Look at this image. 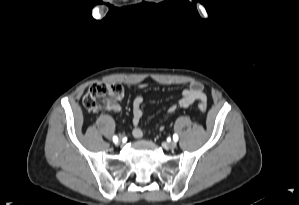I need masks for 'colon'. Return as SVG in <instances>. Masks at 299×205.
<instances>
[{
  "label": "colon",
  "instance_id": "5ec220e1",
  "mask_svg": "<svg viewBox=\"0 0 299 205\" xmlns=\"http://www.w3.org/2000/svg\"><path fill=\"white\" fill-rule=\"evenodd\" d=\"M124 88L120 84L108 82L93 83L83 98V105L88 113H95L100 108L110 107L122 97ZM198 108L202 113L207 111L204 101H199Z\"/></svg>",
  "mask_w": 299,
  "mask_h": 205
}]
</instances>
